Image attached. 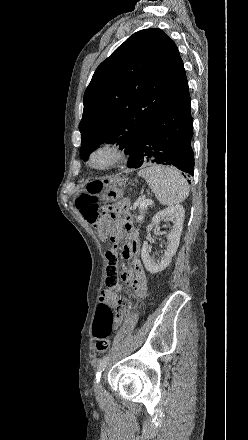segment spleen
I'll list each match as a JSON object with an SVG mask.
<instances>
[{"label": "spleen", "mask_w": 248, "mask_h": 440, "mask_svg": "<svg viewBox=\"0 0 248 440\" xmlns=\"http://www.w3.org/2000/svg\"><path fill=\"white\" fill-rule=\"evenodd\" d=\"M162 205H176L189 195V187L179 171L172 167L151 165L139 171Z\"/></svg>", "instance_id": "spleen-1"}]
</instances>
